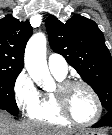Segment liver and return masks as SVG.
I'll list each match as a JSON object with an SVG mask.
<instances>
[{
  "mask_svg": "<svg viewBox=\"0 0 112 135\" xmlns=\"http://www.w3.org/2000/svg\"><path fill=\"white\" fill-rule=\"evenodd\" d=\"M100 133V132H99ZM68 130L55 128L32 121L16 122L3 110H0V135H71Z\"/></svg>",
  "mask_w": 112,
  "mask_h": 135,
  "instance_id": "1",
  "label": "liver"
}]
</instances>
